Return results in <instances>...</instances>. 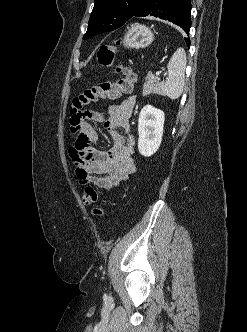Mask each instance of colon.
I'll use <instances>...</instances> for the list:
<instances>
[{
    "label": "colon",
    "mask_w": 247,
    "mask_h": 332,
    "mask_svg": "<svg viewBox=\"0 0 247 332\" xmlns=\"http://www.w3.org/2000/svg\"><path fill=\"white\" fill-rule=\"evenodd\" d=\"M114 47L101 46L97 57L101 65L111 66L114 62ZM116 71L122 74V77L115 81H102L90 88L83 90L72 100L71 106V128L76 132L83 120L85 106L97 103L104 99H115L124 93L132 92L136 82L135 72L126 66H117ZM84 202L88 205H95L98 201V194L92 186H87L83 192ZM92 213L96 217H103L107 220L105 211L102 207L96 206Z\"/></svg>",
    "instance_id": "1"
}]
</instances>
